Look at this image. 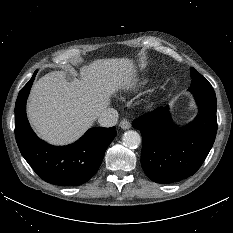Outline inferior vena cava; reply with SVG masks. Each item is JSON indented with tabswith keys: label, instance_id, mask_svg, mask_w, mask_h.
<instances>
[{
	"label": "inferior vena cava",
	"instance_id": "1",
	"mask_svg": "<svg viewBox=\"0 0 233 233\" xmlns=\"http://www.w3.org/2000/svg\"><path fill=\"white\" fill-rule=\"evenodd\" d=\"M118 121V112L113 108H107L102 111L98 116V123L102 127H112Z\"/></svg>",
	"mask_w": 233,
	"mask_h": 233
}]
</instances>
